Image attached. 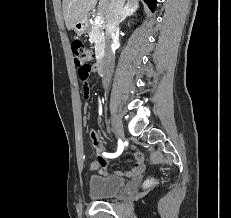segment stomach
<instances>
[{
    "mask_svg": "<svg viewBox=\"0 0 231 218\" xmlns=\"http://www.w3.org/2000/svg\"><path fill=\"white\" fill-rule=\"evenodd\" d=\"M73 30L78 33V34H83L86 32L87 30V20L86 18L77 21L74 25H73Z\"/></svg>",
    "mask_w": 231,
    "mask_h": 218,
    "instance_id": "stomach-1",
    "label": "stomach"
}]
</instances>
